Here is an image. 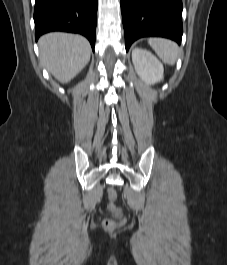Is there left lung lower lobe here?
I'll return each mask as SVG.
<instances>
[{"instance_id": "left-lung-lower-lobe-1", "label": "left lung lower lobe", "mask_w": 227, "mask_h": 265, "mask_svg": "<svg viewBox=\"0 0 227 265\" xmlns=\"http://www.w3.org/2000/svg\"><path fill=\"white\" fill-rule=\"evenodd\" d=\"M125 47L146 36H161L181 43L182 0H120Z\"/></svg>"}]
</instances>
